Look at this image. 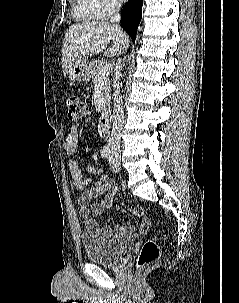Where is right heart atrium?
Returning <instances> with one entry per match:
<instances>
[{
	"label": "right heart atrium",
	"mask_w": 239,
	"mask_h": 303,
	"mask_svg": "<svg viewBox=\"0 0 239 303\" xmlns=\"http://www.w3.org/2000/svg\"><path fill=\"white\" fill-rule=\"evenodd\" d=\"M92 13L100 19L108 18L118 12L122 0H88Z\"/></svg>",
	"instance_id": "d8ad5b80"
}]
</instances>
